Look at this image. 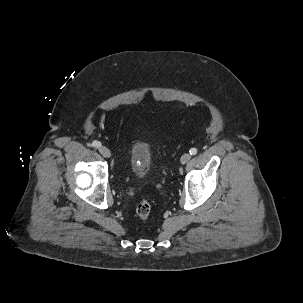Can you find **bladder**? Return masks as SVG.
<instances>
[{"label": "bladder", "mask_w": 303, "mask_h": 303, "mask_svg": "<svg viewBox=\"0 0 303 303\" xmlns=\"http://www.w3.org/2000/svg\"><path fill=\"white\" fill-rule=\"evenodd\" d=\"M156 151L153 145L144 139L135 140L129 151L130 170L137 178L146 177L153 167Z\"/></svg>", "instance_id": "obj_1"}]
</instances>
